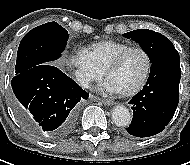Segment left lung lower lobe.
<instances>
[{
	"mask_svg": "<svg viewBox=\"0 0 190 165\" xmlns=\"http://www.w3.org/2000/svg\"><path fill=\"white\" fill-rule=\"evenodd\" d=\"M180 76L178 52L152 63L146 85L130 101L133 118L126 128L129 134L149 137L158 134L167 126L179 102Z\"/></svg>",
	"mask_w": 190,
	"mask_h": 165,
	"instance_id": "left-lung-lower-lobe-1",
	"label": "left lung lower lobe"
}]
</instances>
